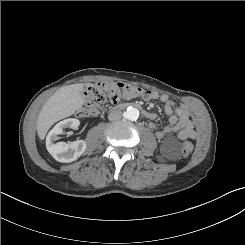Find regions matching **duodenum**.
I'll use <instances>...</instances> for the list:
<instances>
[{"mask_svg": "<svg viewBox=\"0 0 245 245\" xmlns=\"http://www.w3.org/2000/svg\"><path fill=\"white\" fill-rule=\"evenodd\" d=\"M134 107L137 108L141 111V113L146 117V118H151L152 113H150L149 111H147L142 105L138 104V103H131V104H120L116 107H114V109H125L127 107Z\"/></svg>", "mask_w": 245, "mask_h": 245, "instance_id": "1", "label": "duodenum"}]
</instances>
